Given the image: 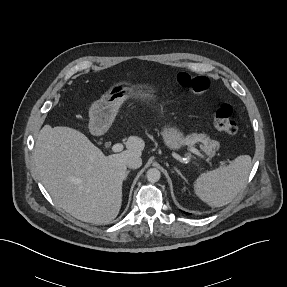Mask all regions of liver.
<instances>
[{
	"mask_svg": "<svg viewBox=\"0 0 287 287\" xmlns=\"http://www.w3.org/2000/svg\"><path fill=\"white\" fill-rule=\"evenodd\" d=\"M126 150L105 156L81 132L45 125L35 143V165L55 204L83 222L114 220L122 204L126 160L141 156L144 142L130 136Z\"/></svg>",
	"mask_w": 287,
	"mask_h": 287,
	"instance_id": "liver-1",
	"label": "liver"
}]
</instances>
